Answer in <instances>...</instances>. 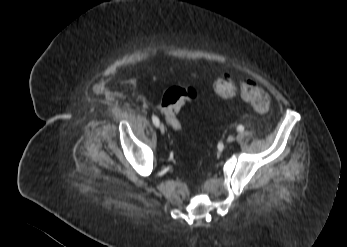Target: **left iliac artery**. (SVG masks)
I'll return each mask as SVG.
<instances>
[{"label":"left iliac artery","mask_w":347,"mask_h":247,"mask_svg":"<svg viewBox=\"0 0 347 247\" xmlns=\"http://www.w3.org/2000/svg\"><path fill=\"white\" fill-rule=\"evenodd\" d=\"M237 131H239V132H243V131H244V126H242V125H238V127H237Z\"/></svg>","instance_id":"1"}]
</instances>
